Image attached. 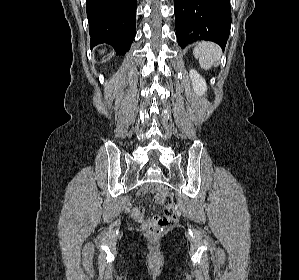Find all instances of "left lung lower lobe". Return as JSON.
<instances>
[{
    "label": "left lung lower lobe",
    "mask_w": 299,
    "mask_h": 280,
    "mask_svg": "<svg viewBox=\"0 0 299 280\" xmlns=\"http://www.w3.org/2000/svg\"><path fill=\"white\" fill-rule=\"evenodd\" d=\"M178 44L213 41L225 48L231 27L230 0H175Z\"/></svg>",
    "instance_id": "left-lung-lower-lobe-1"
}]
</instances>
